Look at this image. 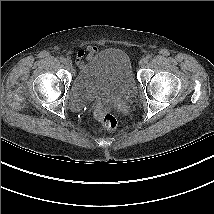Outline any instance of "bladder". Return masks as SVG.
<instances>
[{"mask_svg": "<svg viewBox=\"0 0 214 214\" xmlns=\"http://www.w3.org/2000/svg\"><path fill=\"white\" fill-rule=\"evenodd\" d=\"M135 92L129 57L119 49L108 48L80 68L69 89V102L83 105L95 96L126 99Z\"/></svg>", "mask_w": 214, "mask_h": 214, "instance_id": "obj_1", "label": "bladder"}]
</instances>
